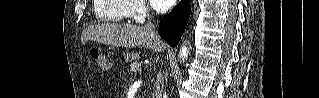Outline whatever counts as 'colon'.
<instances>
[{
    "mask_svg": "<svg viewBox=\"0 0 319 98\" xmlns=\"http://www.w3.org/2000/svg\"><path fill=\"white\" fill-rule=\"evenodd\" d=\"M91 58L95 62V64L101 68L105 69L108 66V61L104 56L100 54V52L97 49H91L90 51Z\"/></svg>",
    "mask_w": 319,
    "mask_h": 98,
    "instance_id": "obj_1",
    "label": "colon"
}]
</instances>
